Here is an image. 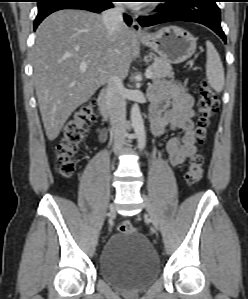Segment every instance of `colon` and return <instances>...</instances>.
<instances>
[{
    "label": "colon",
    "instance_id": "colon-1",
    "mask_svg": "<svg viewBox=\"0 0 248 299\" xmlns=\"http://www.w3.org/2000/svg\"><path fill=\"white\" fill-rule=\"evenodd\" d=\"M199 117L196 128L198 143L202 144L212 123V118L219 109V99L215 91L207 82H203L199 92ZM95 106L93 102L82 104L66 122L63 128L62 137L55 146L54 156L57 173L64 177H71L76 171L75 157L79 151L81 142L84 139L85 127L94 118ZM204 167V158L200 153L194 154L190 160L185 173V180L189 186L201 180ZM118 230L123 234L135 232V228L128 220L121 221Z\"/></svg>",
    "mask_w": 248,
    "mask_h": 299
}]
</instances>
